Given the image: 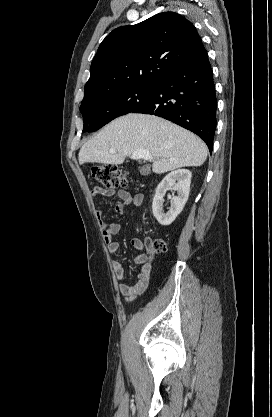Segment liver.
Returning a JSON list of instances; mask_svg holds the SVG:
<instances>
[{"label": "liver", "instance_id": "6515ba94", "mask_svg": "<svg viewBox=\"0 0 272 417\" xmlns=\"http://www.w3.org/2000/svg\"><path fill=\"white\" fill-rule=\"evenodd\" d=\"M138 150L149 151L156 159L152 165L156 174L201 166L208 155L205 143L190 131L154 115L130 113L88 140L79 151V164L120 165Z\"/></svg>", "mask_w": 272, "mask_h": 417}]
</instances>
